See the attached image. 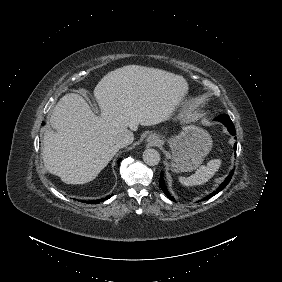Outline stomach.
Here are the masks:
<instances>
[{
  "label": "stomach",
  "mask_w": 282,
  "mask_h": 282,
  "mask_svg": "<svg viewBox=\"0 0 282 282\" xmlns=\"http://www.w3.org/2000/svg\"><path fill=\"white\" fill-rule=\"evenodd\" d=\"M171 151L169 163L174 172H187L196 169L212 149L210 134L195 125H188L183 131L166 139ZM163 142V143H164Z\"/></svg>",
  "instance_id": "0dacf381"
}]
</instances>
